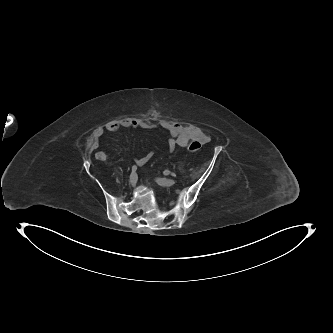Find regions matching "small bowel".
<instances>
[{"label": "small bowel", "instance_id": "1", "mask_svg": "<svg viewBox=\"0 0 333 333\" xmlns=\"http://www.w3.org/2000/svg\"><path fill=\"white\" fill-rule=\"evenodd\" d=\"M157 126L162 128L168 134L167 147L169 152H173L177 147L189 148V145L194 140H199L202 144L209 141V136L202 131L198 126L193 124H181L178 122L163 120L158 125L142 119H122L119 121H110L106 124L105 129L109 132H115L121 128H139V129H154ZM103 128H97L89 142V148L96 150L99 147L100 139L103 135ZM153 152H148L146 155L137 158L136 164L144 166L153 157ZM95 158L99 161H107L109 156L106 152L96 151Z\"/></svg>", "mask_w": 333, "mask_h": 333}]
</instances>
